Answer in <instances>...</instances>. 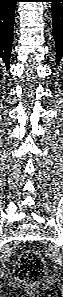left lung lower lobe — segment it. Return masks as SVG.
Wrapping results in <instances>:
<instances>
[{
    "instance_id": "0a47b994",
    "label": "left lung lower lobe",
    "mask_w": 63,
    "mask_h": 297,
    "mask_svg": "<svg viewBox=\"0 0 63 297\" xmlns=\"http://www.w3.org/2000/svg\"><path fill=\"white\" fill-rule=\"evenodd\" d=\"M52 2L53 35L56 49V62L63 59V0H47Z\"/></svg>"
}]
</instances>
